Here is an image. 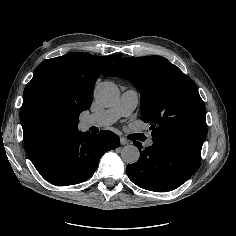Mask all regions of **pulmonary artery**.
<instances>
[{
  "label": "pulmonary artery",
  "instance_id": "pulmonary-artery-1",
  "mask_svg": "<svg viewBox=\"0 0 236 236\" xmlns=\"http://www.w3.org/2000/svg\"><path fill=\"white\" fill-rule=\"evenodd\" d=\"M140 94L136 89H128L124 91L117 102L109 109L102 111L100 114H93L91 117H100L106 120L107 123H113L120 117L130 115L139 103ZM153 144L152 140L149 139L146 143L147 146Z\"/></svg>",
  "mask_w": 236,
  "mask_h": 236
}]
</instances>
